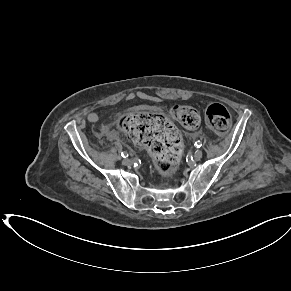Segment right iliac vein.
<instances>
[{"mask_svg": "<svg viewBox=\"0 0 291 291\" xmlns=\"http://www.w3.org/2000/svg\"><path fill=\"white\" fill-rule=\"evenodd\" d=\"M123 164L126 166H130V165H132V161L129 158H125L123 160Z\"/></svg>", "mask_w": 291, "mask_h": 291, "instance_id": "right-iliac-vein-1", "label": "right iliac vein"}]
</instances>
